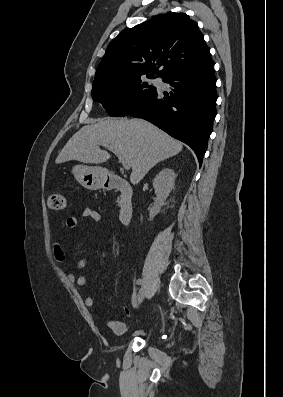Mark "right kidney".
Returning <instances> with one entry per match:
<instances>
[{
    "label": "right kidney",
    "instance_id": "ca27d5eb",
    "mask_svg": "<svg viewBox=\"0 0 283 397\" xmlns=\"http://www.w3.org/2000/svg\"><path fill=\"white\" fill-rule=\"evenodd\" d=\"M175 179L176 174L171 168L162 169L154 178L153 187L157 198L149 212V220H152L160 212L171 190L174 189Z\"/></svg>",
    "mask_w": 283,
    "mask_h": 397
}]
</instances>
